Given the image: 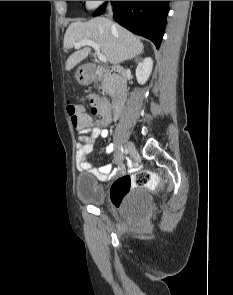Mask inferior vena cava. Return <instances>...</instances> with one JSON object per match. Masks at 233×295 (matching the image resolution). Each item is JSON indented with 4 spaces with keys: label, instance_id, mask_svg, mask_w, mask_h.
<instances>
[{
    "label": "inferior vena cava",
    "instance_id": "inferior-vena-cava-1",
    "mask_svg": "<svg viewBox=\"0 0 233 295\" xmlns=\"http://www.w3.org/2000/svg\"><path fill=\"white\" fill-rule=\"evenodd\" d=\"M108 11H109V14L112 16V15H113V13H112V7H111L110 4H109V6H108Z\"/></svg>",
    "mask_w": 233,
    "mask_h": 295
}]
</instances>
